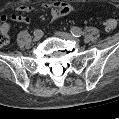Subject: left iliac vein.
<instances>
[{
	"mask_svg": "<svg viewBox=\"0 0 119 119\" xmlns=\"http://www.w3.org/2000/svg\"><path fill=\"white\" fill-rule=\"evenodd\" d=\"M57 35L62 37V38L72 40V41H75V42L79 41V39H77L74 35H72L70 33H67V32H58Z\"/></svg>",
	"mask_w": 119,
	"mask_h": 119,
	"instance_id": "1",
	"label": "left iliac vein"
}]
</instances>
